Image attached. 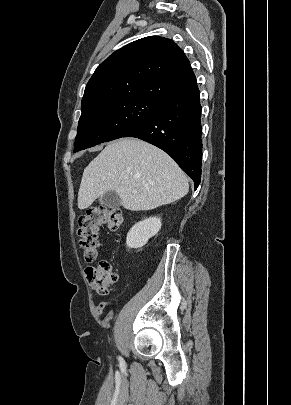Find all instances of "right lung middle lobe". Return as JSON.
I'll return each mask as SVG.
<instances>
[{
    "label": "right lung middle lobe",
    "instance_id": "obj_1",
    "mask_svg": "<svg viewBox=\"0 0 291 405\" xmlns=\"http://www.w3.org/2000/svg\"><path fill=\"white\" fill-rule=\"evenodd\" d=\"M161 104L152 99L125 98L81 109L74 152L124 137L146 122Z\"/></svg>",
    "mask_w": 291,
    "mask_h": 405
}]
</instances>
